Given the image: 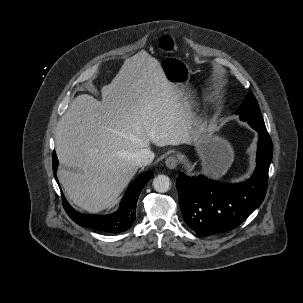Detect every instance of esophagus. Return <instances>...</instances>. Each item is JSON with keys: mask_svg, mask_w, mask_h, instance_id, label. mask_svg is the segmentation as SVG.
<instances>
[{"mask_svg": "<svg viewBox=\"0 0 303 303\" xmlns=\"http://www.w3.org/2000/svg\"><path fill=\"white\" fill-rule=\"evenodd\" d=\"M165 164L169 169H174L178 165V160L176 157L170 156L166 159Z\"/></svg>", "mask_w": 303, "mask_h": 303, "instance_id": "obj_1", "label": "esophagus"}]
</instances>
